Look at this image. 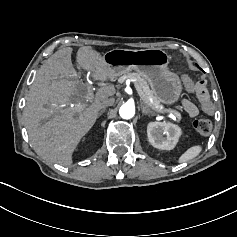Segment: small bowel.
<instances>
[{
    "label": "small bowel",
    "instance_id": "c3829d8e",
    "mask_svg": "<svg viewBox=\"0 0 237 237\" xmlns=\"http://www.w3.org/2000/svg\"><path fill=\"white\" fill-rule=\"evenodd\" d=\"M197 89L204 90L205 94L208 96L207 89H206V82L204 80L197 82ZM181 105L190 117H195L198 115V112H199L198 108L193 102L187 99H184L182 100Z\"/></svg>",
    "mask_w": 237,
    "mask_h": 237
}]
</instances>
